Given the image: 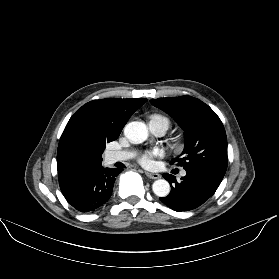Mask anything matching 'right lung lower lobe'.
Wrapping results in <instances>:
<instances>
[{"label": "right lung lower lobe", "mask_w": 279, "mask_h": 279, "mask_svg": "<svg viewBox=\"0 0 279 279\" xmlns=\"http://www.w3.org/2000/svg\"><path fill=\"white\" fill-rule=\"evenodd\" d=\"M122 169L98 167L59 181L66 200L81 212L94 211L109 200L115 177Z\"/></svg>", "instance_id": "98d812e1"}]
</instances>
